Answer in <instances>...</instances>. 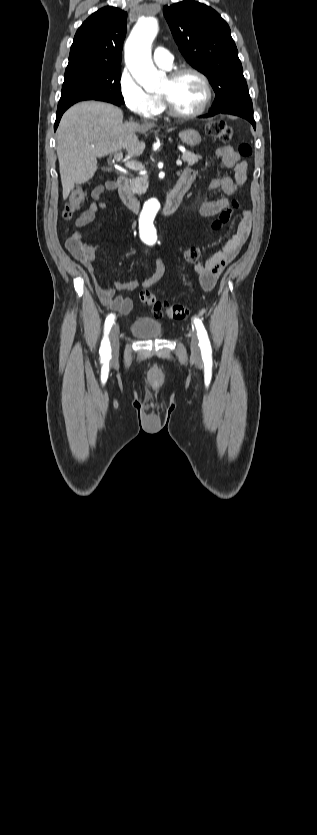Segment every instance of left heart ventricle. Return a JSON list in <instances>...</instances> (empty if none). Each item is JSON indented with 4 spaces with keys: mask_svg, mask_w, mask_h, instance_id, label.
Segmentation results:
<instances>
[{
    "mask_svg": "<svg viewBox=\"0 0 317 835\" xmlns=\"http://www.w3.org/2000/svg\"><path fill=\"white\" fill-rule=\"evenodd\" d=\"M160 93L167 95L173 106L183 113L195 111L205 96L202 82L193 74L182 75L173 81L167 77Z\"/></svg>",
    "mask_w": 317,
    "mask_h": 835,
    "instance_id": "obj_1",
    "label": "left heart ventricle"
}]
</instances>
